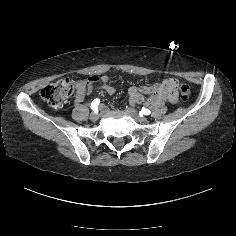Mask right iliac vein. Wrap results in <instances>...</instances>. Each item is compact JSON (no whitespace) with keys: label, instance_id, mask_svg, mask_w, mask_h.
I'll list each match as a JSON object with an SVG mask.
<instances>
[{"label":"right iliac vein","instance_id":"right-iliac-vein-1","mask_svg":"<svg viewBox=\"0 0 236 236\" xmlns=\"http://www.w3.org/2000/svg\"><path fill=\"white\" fill-rule=\"evenodd\" d=\"M98 118H99V114H98V113L92 112V113L90 114V120H91V121H96V120H98Z\"/></svg>","mask_w":236,"mask_h":236}]
</instances>
